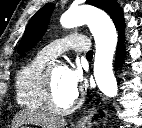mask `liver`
<instances>
[{
	"mask_svg": "<svg viewBox=\"0 0 142 128\" xmlns=\"http://www.w3.org/2000/svg\"><path fill=\"white\" fill-rule=\"evenodd\" d=\"M25 123L35 124L42 128H64L66 126V121L63 118L51 115L47 112L22 110L14 116L12 128H19Z\"/></svg>",
	"mask_w": 142,
	"mask_h": 128,
	"instance_id": "6515ba94",
	"label": "liver"
}]
</instances>
